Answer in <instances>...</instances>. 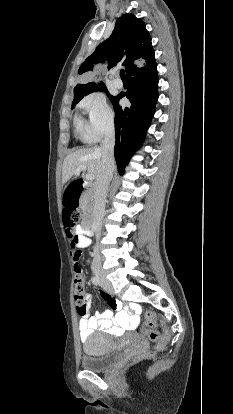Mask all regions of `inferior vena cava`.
I'll return each mask as SVG.
<instances>
[{
    "instance_id": "602c4592",
    "label": "inferior vena cava",
    "mask_w": 233,
    "mask_h": 414,
    "mask_svg": "<svg viewBox=\"0 0 233 414\" xmlns=\"http://www.w3.org/2000/svg\"><path fill=\"white\" fill-rule=\"evenodd\" d=\"M114 145H115V129L114 124H110L106 131L104 140L101 142L102 152V166L95 181V195H94V210H93V229L99 232L102 225V220L105 215V202L108 193V186L113 176L115 167L114 161ZM95 248L94 246L92 247ZM93 253L94 264H100V259L97 257V250Z\"/></svg>"
}]
</instances>
